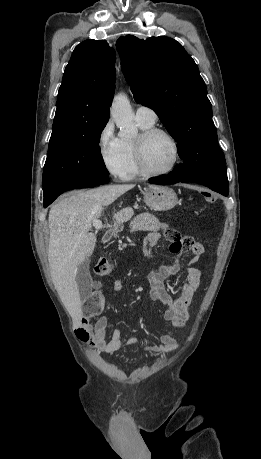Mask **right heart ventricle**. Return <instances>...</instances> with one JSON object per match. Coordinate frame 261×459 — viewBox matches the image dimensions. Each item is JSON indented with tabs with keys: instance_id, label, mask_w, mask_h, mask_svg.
<instances>
[{
	"instance_id": "obj_1",
	"label": "right heart ventricle",
	"mask_w": 261,
	"mask_h": 459,
	"mask_svg": "<svg viewBox=\"0 0 261 459\" xmlns=\"http://www.w3.org/2000/svg\"><path fill=\"white\" fill-rule=\"evenodd\" d=\"M139 127L142 130L148 129L154 126V123H148L144 121L137 120ZM121 149L125 158V168L121 175L122 179L130 180L135 178L140 174L134 153V140L128 138H121Z\"/></svg>"
}]
</instances>
